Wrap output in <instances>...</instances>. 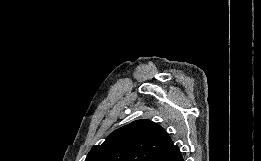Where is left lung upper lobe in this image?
I'll return each instance as SVG.
<instances>
[{"label":"left lung upper lobe","mask_w":261,"mask_h":161,"mask_svg":"<svg viewBox=\"0 0 261 161\" xmlns=\"http://www.w3.org/2000/svg\"><path fill=\"white\" fill-rule=\"evenodd\" d=\"M171 144L157 123L137 120L112 132L102 145H94L85 161H152Z\"/></svg>","instance_id":"5c2ea615"}]
</instances>
